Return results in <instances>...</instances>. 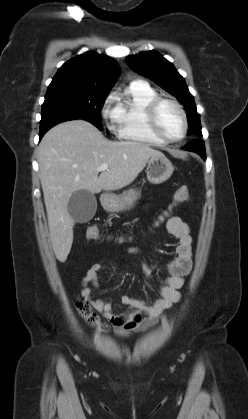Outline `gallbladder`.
<instances>
[{
    "label": "gallbladder",
    "instance_id": "gallbladder-1",
    "mask_svg": "<svg viewBox=\"0 0 248 419\" xmlns=\"http://www.w3.org/2000/svg\"><path fill=\"white\" fill-rule=\"evenodd\" d=\"M97 200L88 190H78L68 202V212L77 223L90 221L96 213Z\"/></svg>",
    "mask_w": 248,
    "mask_h": 419
}]
</instances>
